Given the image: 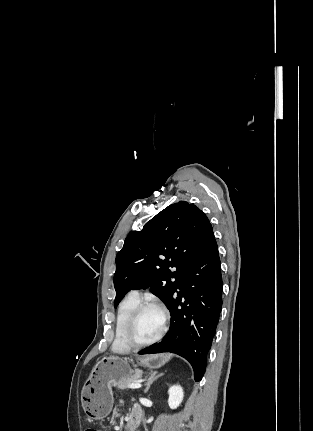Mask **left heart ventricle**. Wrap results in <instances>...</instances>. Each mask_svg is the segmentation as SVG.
<instances>
[{
    "instance_id": "left-heart-ventricle-1",
    "label": "left heart ventricle",
    "mask_w": 313,
    "mask_h": 431,
    "mask_svg": "<svg viewBox=\"0 0 313 431\" xmlns=\"http://www.w3.org/2000/svg\"><path fill=\"white\" fill-rule=\"evenodd\" d=\"M162 327V314L156 308H147L139 316L134 337L144 342L155 337Z\"/></svg>"
}]
</instances>
